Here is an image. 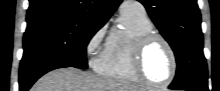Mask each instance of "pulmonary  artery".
Returning a JSON list of instances; mask_svg holds the SVG:
<instances>
[{"mask_svg":"<svg viewBox=\"0 0 220 91\" xmlns=\"http://www.w3.org/2000/svg\"><path fill=\"white\" fill-rule=\"evenodd\" d=\"M121 13L145 14V9L138 1H126L121 7Z\"/></svg>","mask_w":220,"mask_h":91,"instance_id":"1","label":"pulmonary artery"}]
</instances>
